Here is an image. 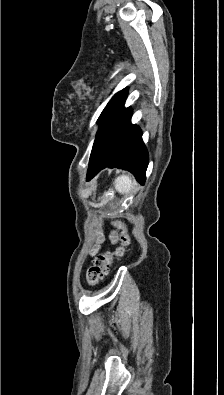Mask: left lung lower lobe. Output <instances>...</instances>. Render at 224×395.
<instances>
[{
  "mask_svg": "<svg viewBox=\"0 0 224 395\" xmlns=\"http://www.w3.org/2000/svg\"><path fill=\"white\" fill-rule=\"evenodd\" d=\"M127 89L111 100L100 115V124L89 161L87 178L91 179L105 167H118L132 172L144 183L148 153L142 132L131 124L132 110L124 108Z\"/></svg>",
  "mask_w": 224,
  "mask_h": 395,
  "instance_id": "obj_1",
  "label": "left lung lower lobe"
}]
</instances>
